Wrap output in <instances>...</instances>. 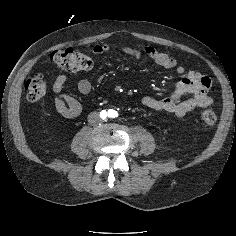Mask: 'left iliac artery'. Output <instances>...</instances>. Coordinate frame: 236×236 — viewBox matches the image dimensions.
I'll list each match as a JSON object with an SVG mask.
<instances>
[{
  "label": "left iliac artery",
  "mask_w": 236,
  "mask_h": 236,
  "mask_svg": "<svg viewBox=\"0 0 236 236\" xmlns=\"http://www.w3.org/2000/svg\"><path fill=\"white\" fill-rule=\"evenodd\" d=\"M109 116L115 118L117 116V113L113 110L109 111Z\"/></svg>",
  "instance_id": "left-iliac-artery-1"
}]
</instances>
